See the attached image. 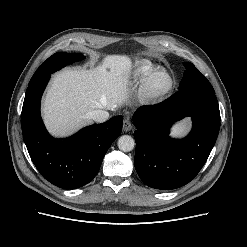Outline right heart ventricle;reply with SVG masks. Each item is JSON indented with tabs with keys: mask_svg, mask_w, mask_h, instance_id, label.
Listing matches in <instances>:
<instances>
[{
	"mask_svg": "<svg viewBox=\"0 0 247 247\" xmlns=\"http://www.w3.org/2000/svg\"><path fill=\"white\" fill-rule=\"evenodd\" d=\"M157 67L149 61L139 62L132 72V77L136 82H141L144 76Z\"/></svg>",
	"mask_w": 247,
	"mask_h": 247,
	"instance_id": "e07e8e85",
	"label": "right heart ventricle"
}]
</instances>
